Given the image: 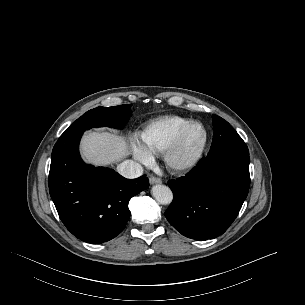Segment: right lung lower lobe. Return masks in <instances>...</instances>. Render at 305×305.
Here are the masks:
<instances>
[{"label":"right lung lower lobe","mask_w":305,"mask_h":305,"mask_svg":"<svg viewBox=\"0 0 305 305\" xmlns=\"http://www.w3.org/2000/svg\"><path fill=\"white\" fill-rule=\"evenodd\" d=\"M82 134L58 140L53 148L49 192L66 228L80 240L99 244L125 227L128 202L149 187L148 178L126 179L112 169L86 165L79 154Z\"/></svg>","instance_id":"right-lung-lower-lobe-1"}]
</instances>
